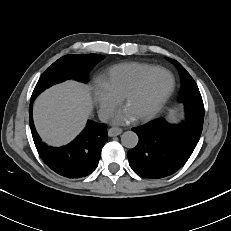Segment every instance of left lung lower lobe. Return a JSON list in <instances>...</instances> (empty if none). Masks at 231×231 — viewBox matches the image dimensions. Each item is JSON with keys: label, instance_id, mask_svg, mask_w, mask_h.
Returning a JSON list of instances; mask_svg holds the SVG:
<instances>
[{"label": "left lung lower lobe", "instance_id": "1", "mask_svg": "<svg viewBox=\"0 0 231 231\" xmlns=\"http://www.w3.org/2000/svg\"><path fill=\"white\" fill-rule=\"evenodd\" d=\"M204 117L186 115L181 124L160 118L133 131L139 143L128 151L129 165L141 177L162 178L178 171L195 149Z\"/></svg>", "mask_w": 231, "mask_h": 231}]
</instances>
